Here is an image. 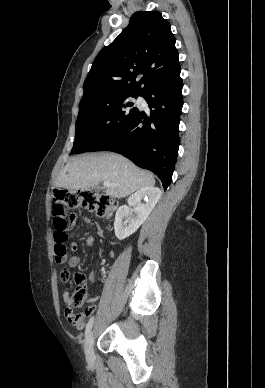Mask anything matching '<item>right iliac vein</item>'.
Masks as SVG:
<instances>
[{"mask_svg":"<svg viewBox=\"0 0 265 388\" xmlns=\"http://www.w3.org/2000/svg\"><path fill=\"white\" fill-rule=\"evenodd\" d=\"M93 344H94V333L93 331H91L87 335L85 339V344H84L85 356L88 362H91L94 358Z\"/></svg>","mask_w":265,"mask_h":388,"instance_id":"63e3f726","label":"right iliac vein"}]
</instances>
